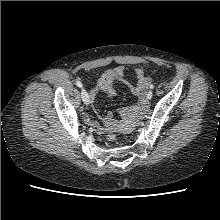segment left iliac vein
I'll list each match as a JSON object with an SVG mask.
<instances>
[{
  "mask_svg": "<svg viewBox=\"0 0 220 220\" xmlns=\"http://www.w3.org/2000/svg\"><path fill=\"white\" fill-rule=\"evenodd\" d=\"M153 96V92L151 90L148 91L147 93V99L150 100Z\"/></svg>",
  "mask_w": 220,
  "mask_h": 220,
  "instance_id": "4c4485c4",
  "label": "left iliac vein"
}]
</instances>
